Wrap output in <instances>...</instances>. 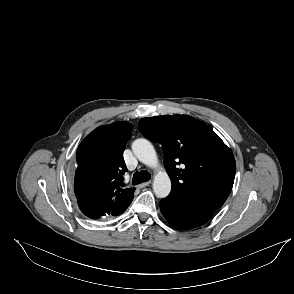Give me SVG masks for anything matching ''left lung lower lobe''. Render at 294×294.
Returning <instances> with one entry per match:
<instances>
[{"label": "left lung lower lobe", "instance_id": "obj_1", "mask_svg": "<svg viewBox=\"0 0 294 294\" xmlns=\"http://www.w3.org/2000/svg\"><path fill=\"white\" fill-rule=\"evenodd\" d=\"M160 208L165 219L183 230L205 224L214 211L206 210L189 200L168 196L160 201Z\"/></svg>", "mask_w": 294, "mask_h": 294}]
</instances>
